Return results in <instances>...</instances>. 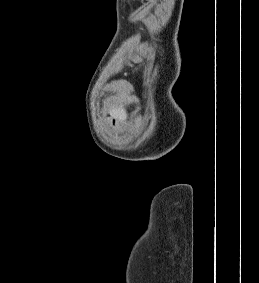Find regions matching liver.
<instances>
[{
  "instance_id": "liver-1",
  "label": "liver",
  "mask_w": 259,
  "mask_h": 283,
  "mask_svg": "<svg viewBox=\"0 0 259 283\" xmlns=\"http://www.w3.org/2000/svg\"><path fill=\"white\" fill-rule=\"evenodd\" d=\"M109 114L116 120L125 121L127 119V113L123 106H113L109 109Z\"/></svg>"
}]
</instances>
